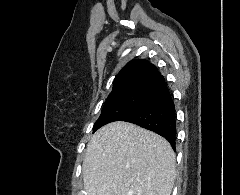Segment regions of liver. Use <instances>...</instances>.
<instances>
[{"mask_svg":"<svg viewBox=\"0 0 240 195\" xmlns=\"http://www.w3.org/2000/svg\"><path fill=\"white\" fill-rule=\"evenodd\" d=\"M83 161L87 195H170L175 153L167 139L127 121L93 133Z\"/></svg>","mask_w":240,"mask_h":195,"instance_id":"obj_1","label":"liver"}]
</instances>
